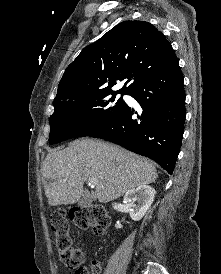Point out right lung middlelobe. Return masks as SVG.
I'll return each mask as SVG.
<instances>
[{
  "label": "right lung middle lobe",
  "mask_w": 221,
  "mask_h": 274,
  "mask_svg": "<svg viewBox=\"0 0 221 274\" xmlns=\"http://www.w3.org/2000/svg\"><path fill=\"white\" fill-rule=\"evenodd\" d=\"M118 93H104L54 104L50 116V143L89 136L112 121L125 105ZM124 94V93H121Z\"/></svg>",
  "instance_id": "right-lung-middle-lobe-1"
}]
</instances>
